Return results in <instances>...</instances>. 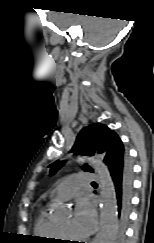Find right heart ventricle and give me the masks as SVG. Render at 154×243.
<instances>
[{"instance_id":"e07e8e85","label":"right heart ventricle","mask_w":154,"mask_h":243,"mask_svg":"<svg viewBox=\"0 0 154 243\" xmlns=\"http://www.w3.org/2000/svg\"><path fill=\"white\" fill-rule=\"evenodd\" d=\"M35 233L42 238L49 240L60 239L57 232V224L48 218L46 209L40 210L35 221Z\"/></svg>"}]
</instances>
